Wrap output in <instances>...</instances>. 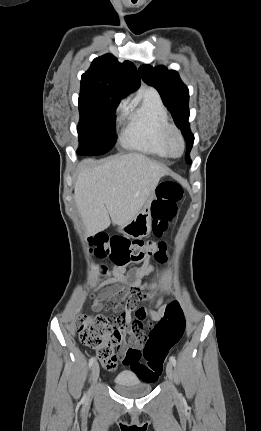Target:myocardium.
<instances>
[{"instance_id": "f54148a6", "label": "myocardium", "mask_w": 261, "mask_h": 431, "mask_svg": "<svg viewBox=\"0 0 261 431\" xmlns=\"http://www.w3.org/2000/svg\"><path fill=\"white\" fill-rule=\"evenodd\" d=\"M173 138H176L180 144V152L178 154L172 150L171 142ZM163 142L166 152L170 157L179 158L184 154L186 148L185 139L182 132L175 125L168 124L164 131Z\"/></svg>"}]
</instances>
